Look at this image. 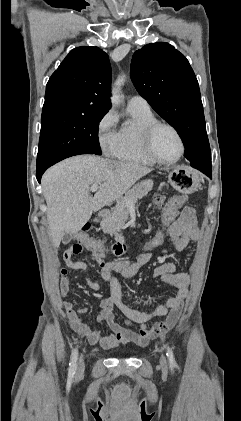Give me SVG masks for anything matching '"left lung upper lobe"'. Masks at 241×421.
Instances as JSON below:
<instances>
[{
  "instance_id": "1",
  "label": "left lung upper lobe",
  "mask_w": 241,
  "mask_h": 421,
  "mask_svg": "<svg viewBox=\"0 0 241 421\" xmlns=\"http://www.w3.org/2000/svg\"><path fill=\"white\" fill-rule=\"evenodd\" d=\"M131 74L139 94L177 130L185 158L211 164L200 89L186 57L168 43H151L134 53Z\"/></svg>"
}]
</instances>
